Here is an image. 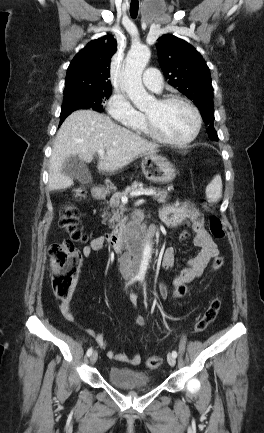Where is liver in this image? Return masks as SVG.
Instances as JSON below:
<instances>
[{
	"instance_id": "6515ba94",
	"label": "liver",
	"mask_w": 264,
	"mask_h": 433,
	"mask_svg": "<svg viewBox=\"0 0 264 433\" xmlns=\"http://www.w3.org/2000/svg\"><path fill=\"white\" fill-rule=\"evenodd\" d=\"M159 146L130 130L115 124L110 117L93 110H78L69 115L59 128L49 164L50 190H64L73 180L62 173L64 161L77 155L90 163L99 149L98 170L113 173L143 155H154Z\"/></svg>"
}]
</instances>
